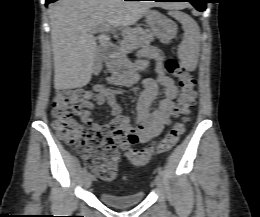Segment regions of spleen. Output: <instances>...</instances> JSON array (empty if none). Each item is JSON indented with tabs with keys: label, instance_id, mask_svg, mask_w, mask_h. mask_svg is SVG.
Returning a JSON list of instances; mask_svg holds the SVG:
<instances>
[{
	"label": "spleen",
	"instance_id": "spleen-1",
	"mask_svg": "<svg viewBox=\"0 0 260 217\" xmlns=\"http://www.w3.org/2000/svg\"><path fill=\"white\" fill-rule=\"evenodd\" d=\"M173 18L182 24L184 38L179 47L178 53L182 60H194L197 58L200 46V29L198 24L189 15L180 12H169Z\"/></svg>",
	"mask_w": 260,
	"mask_h": 217
}]
</instances>
